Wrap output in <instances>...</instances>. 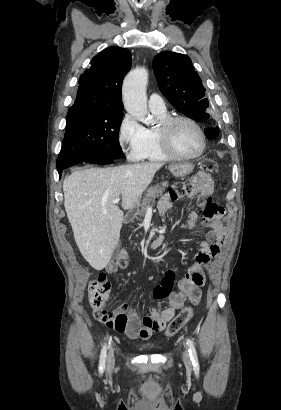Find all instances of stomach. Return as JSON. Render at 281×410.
Masks as SVG:
<instances>
[{
	"instance_id": "1",
	"label": "stomach",
	"mask_w": 281,
	"mask_h": 410,
	"mask_svg": "<svg viewBox=\"0 0 281 410\" xmlns=\"http://www.w3.org/2000/svg\"><path fill=\"white\" fill-rule=\"evenodd\" d=\"M193 168L194 166L191 163L173 164L169 166L170 172L176 177L188 175L192 172Z\"/></svg>"
}]
</instances>
